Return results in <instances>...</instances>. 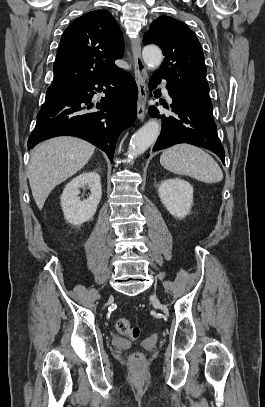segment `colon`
<instances>
[{
    "label": "colon",
    "mask_w": 265,
    "mask_h": 407,
    "mask_svg": "<svg viewBox=\"0 0 265 407\" xmlns=\"http://www.w3.org/2000/svg\"><path fill=\"white\" fill-rule=\"evenodd\" d=\"M116 329L120 334L128 337L131 340L138 339L141 334V330L136 326H132L126 318H119L116 321ZM142 360L143 355L139 352L133 353L131 355V361L133 363L139 364L142 362Z\"/></svg>",
    "instance_id": "5ec220e1"
}]
</instances>
